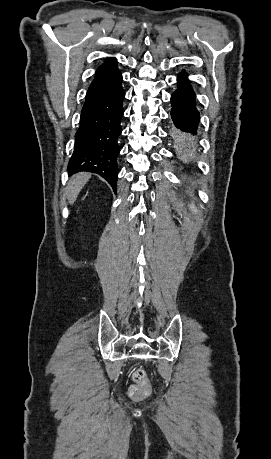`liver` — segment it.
I'll use <instances>...</instances> for the list:
<instances>
[{
  "label": "liver",
  "mask_w": 271,
  "mask_h": 459,
  "mask_svg": "<svg viewBox=\"0 0 271 459\" xmlns=\"http://www.w3.org/2000/svg\"><path fill=\"white\" fill-rule=\"evenodd\" d=\"M91 174H75L72 180H70V184L67 188V200H69V204H74L78 198V194H80L83 186L87 184L88 180H90Z\"/></svg>",
  "instance_id": "liver-1"
}]
</instances>
